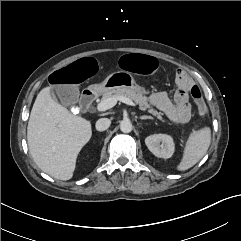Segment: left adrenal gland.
Segmentation results:
<instances>
[{"label":"left adrenal gland","mask_w":241,"mask_h":241,"mask_svg":"<svg viewBox=\"0 0 241 241\" xmlns=\"http://www.w3.org/2000/svg\"><path fill=\"white\" fill-rule=\"evenodd\" d=\"M141 120L153 119L151 116L143 115L140 117Z\"/></svg>","instance_id":"obj_1"}]
</instances>
